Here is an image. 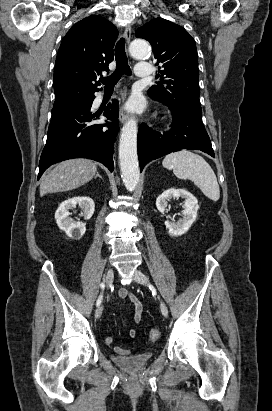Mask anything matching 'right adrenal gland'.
I'll return each instance as SVG.
<instances>
[{
	"label": "right adrenal gland",
	"mask_w": 272,
	"mask_h": 411,
	"mask_svg": "<svg viewBox=\"0 0 272 411\" xmlns=\"http://www.w3.org/2000/svg\"><path fill=\"white\" fill-rule=\"evenodd\" d=\"M97 177H99V178H101V179H102V176L99 174V172H97V174H96L95 178H97Z\"/></svg>",
	"instance_id": "obj_1"
}]
</instances>
